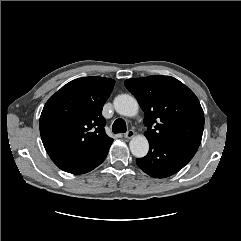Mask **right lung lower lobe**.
Wrapping results in <instances>:
<instances>
[{
	"mask_svg": "<svg viewBox=\"0 0 241 241\" xmlns=\"http://www.w3.org/2000/svg\"><path fill=\"white\" fill-rule=\"evenodd\" d=\"M112 142L113 140L109 141L108 143H106L105 145L101 146L100 148H98L97 150L88 155L65 160L57 164V166L68 173H87L96 168L104 161Z\"/></svg>",
	"mask_w": 241,
	"mask_h": 241,
	"instance_id": "98d812e1",
	"label": "right lung lower lobe"
}]
</instances>
